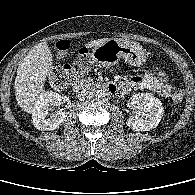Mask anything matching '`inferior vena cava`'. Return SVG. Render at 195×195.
<instances>
[{
	"instance_id": "602c4592",
	"label": "inferior vena cava",
	"mask_w": 195,
	"mask_h": 195,
	"mask_svg": "<svg viewBox=\"0 0 195 195\" xmlns=\"http://www.w3.org/2000/svg\"><path fill=\"white\" fill-rule=\"evenodd\" d=\"M78 97L80 101L90 100L93 97V92L88 89H84L79 92Z\"/></svg>"
}]
</instances>
